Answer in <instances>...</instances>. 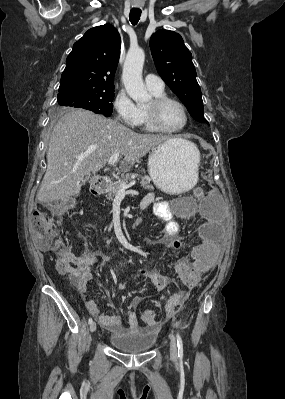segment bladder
I'll return each mask as SVG.
<instances>
[{"label": "bladder", "mask_w": 285, "mask_h": 399, "mask_svg": "<svg viewBox=\"0 0 285 399\" xmlns=\"http://www.w3.org/2000/svg\"><path fill=\"white\" fill-rule=\"evenodd\" d=\"M185 199V198H183ZM156 341L154 328H136L124 335H111L109 343L124 354H140L149 351Z\"/></svg>", "instance_id": "31cf9c89"}]
</instances>
